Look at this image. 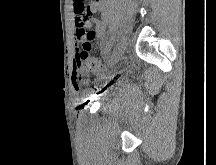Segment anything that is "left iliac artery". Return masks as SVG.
<instances>
[{
  "label": "left iliac artery",
  "instance_id": "left-iliac-artery-1",
  "mask_svg": "<svg viewBox=\"0 0 216 165\" xmlns=\"http://www.w3.org/2000/svg\"><path fill=\"white\" fill-rule=\"evenodd\" d=\"M113 41H114V39L111 38V39L109 40V42L106 44L105 50H104V54H105V55H108V54H109V51H110L111 46H112V44H113Z\"/></svg>",
  "mask_w": 216,
  "mask_h": 165
}]
</instances>
